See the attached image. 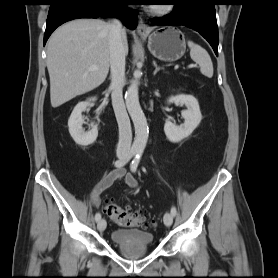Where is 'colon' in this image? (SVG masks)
<instances>
[{
	"instance_id": "5ec220e1",
	"label": "colon",
	"mask_w": 278,
	"mask_h": 278,
	"mask_svg": "<svg viewBox=\"0 0 278 278\" xmlns=\"http://www.w3.org/2000/svg\"><path fill=\"white\" fill-rule=\"evenodd\" d=\"M105 212L118 225L124 227H148L150 225L145 212L123 208L111 200L106 203Z\"/></svg>"
}]
</instances>
